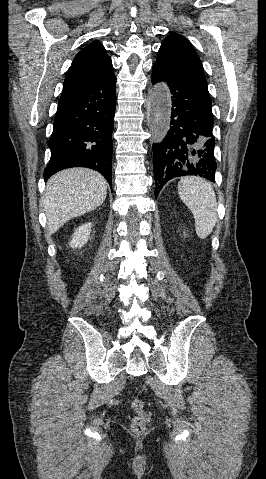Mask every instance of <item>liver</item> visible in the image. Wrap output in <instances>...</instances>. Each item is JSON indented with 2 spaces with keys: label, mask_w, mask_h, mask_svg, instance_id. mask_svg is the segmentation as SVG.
Instances as JSON below:
<instances>
[{
  "label": "liver",
  "mask_w": 266,
  "mask_h": 479,
  "mask_svg": "<svg viewBox=\"0 0 266 479\" xmlns=\"http://www.w3.org/2000/svg\"><path fill=\"white\" fill-rule=\"evenodd\" d=\"M107 186L100 173L86 168L66 169L52 176L44 196L48 235L68 220L99 207L106 198Z\"/></svg>",
  "instance_id": "liver-1"
}]
</instances>
